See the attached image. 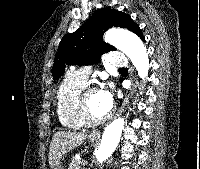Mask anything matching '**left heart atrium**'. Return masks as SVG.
I'll return each instance as SVG.
<instances>
[{
	"mask_svg": "<svg viewBox=\"0 0 200 169\" xmlns=\"http://www.w3.org/2000/svg\"><path fill=\"white\" fill-rule=\"evenodd\" d=\"M101 97L106 105V107L109 109H112L114 104V92L112 90L111 86H107L100 90Z\"/></svg>",
	"mask_w": 200,
	"mask_h": 169,
	"instance_id": "left-heart-atrium-1",
	"label": "left heart atrium"
}]
</instances>
